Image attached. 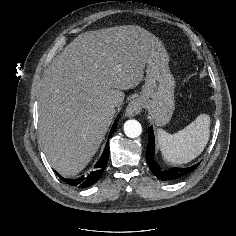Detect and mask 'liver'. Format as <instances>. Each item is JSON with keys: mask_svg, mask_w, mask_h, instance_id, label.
Segmentation results:
<instances>
[{"mask_svg": "<svg viewBox=\"0 0 236 236\" xmlns=\"http://www.w3.org/2000/svg\"><path fill=\"white\" fill-rule=\"evenodd\" d=\"M163 43L135 25L80 34L45 71L38 94L39 140L50 165L74 176L90 162L121 106L122 90L143 79L147 59Z\"/></svg>", "mask_w": 236, "mask_h": 236, "instance_id": "liver-1", "label": "liver"}]
</instances>
